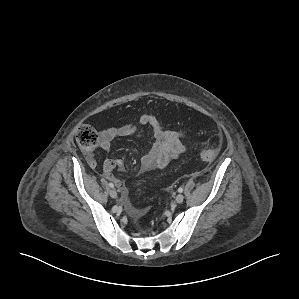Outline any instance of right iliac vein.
I'll return each mask as SVG.
<instances>
[{
    "label": "right iliac vein",
    "mask_w": 299,
    "mask_h": 299,
    "mask_svg": "<svg viewBox=\"0 0 299 299\" xmlns=\"http://www.w3.org/2000/svg\"><path fill=\"white\" fill-rule=\"evenodd\" d=\"M109 195H110V197H112V198H116V197H117V192H116L114 189H111V190L109 191Z\"/></svg>",
    "instance_id": "obj_1"
}]
</instances>
